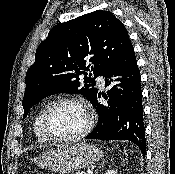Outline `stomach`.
<instances>
[{
	"label": "stomach",
	"mask_w": 175,
	"mask_h": 174,
	"mask_svg": "<svg viewBox=\"0 0 175 174\" xmlns=\"http://www.w3.org/2000/svg\"><path fill=\"white\" fill-rule=\"evenodd\" d=\"M103 156L102 151L88 143L61 145L39 155L34 161L41 167L67 174L94 164Z\"/></svg>",
	"instance_id": "stomach-1"
}]
</instances>
